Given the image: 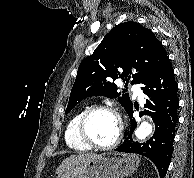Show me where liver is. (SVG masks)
Wrapping results in <instances>:
<instances>
[{
    "instance_id": "6515ba94",
    "label": "liver",
    "mask_w": 194,
    "mask_h": 178,
    "mask_svg": "<svg viewBox=\"0 0 194 178\" xmlns=\"http://www.w3.org/2000/svg\"><path fill=\"white\" fill-rule=\"evenodd\" d=\"M96 156L94 153H86V154H79V155H72L62 161L59 167L56 170L57 174H61L62 172L73 168L77 165H80L90 159H93Z\"/></svg>"
}]
</instances>
